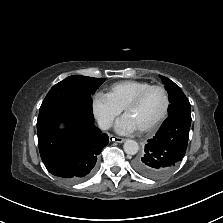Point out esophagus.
<instances>
[{
  "label": "esophagus",
  "mask_w": 223,
  "mask_h": 223,
  "mask_svg": "<svg viewBox=\"0 0 223 223\" xmlns=\"http://www.w3.org/2000/svg\"><path fill=\"white\" fill-rule=\"evenodd\" d=\"M126 139L121 138V137H112V141L117 142V143H123L125 142Z\"/></svg>",
  "instance_id": "1"
}]
</instances>
